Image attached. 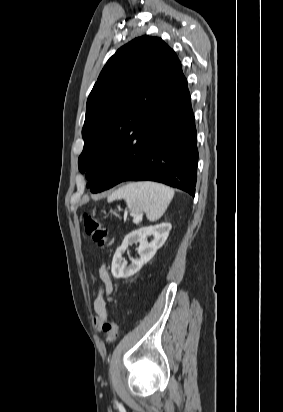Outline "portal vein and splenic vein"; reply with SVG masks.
Here are the masks:
<instances>
[{
    "instance_id": "portal-vein-and-splenic-vein-1",
    "label": "portal vein and splenic vein",
    "mask_w": 283,
    "mask_h": 412,
    "mask_svg": "<svg viewBox=\"0 0 283 412\" xmlns=\"http://www.w3.org/2000/svg\"><path fill=\"white\" fill-rule=\"evenodd\" d=\"M141 220H142V216L140 215V216L134 217L133 222L137 224V223H139Z\"/></svg>"
}]
</instances>
